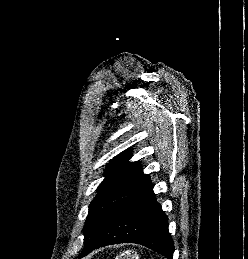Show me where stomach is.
Returning <instances> with one entry per match:
<instances>
[{
  "label": "stomach",
  "mask_w": 248,
  "mask_h": 259,
  "mask_svg": "<svg viewBox=\"0 0 248 259\" xmlns=\"http://www.w3.org/2000/svg\"><path fill=\"white\" fill-rule=\"evenodd\" d=\"M115 259H140V258L137 252H135L134 250L128 249L123 251L119 255H117Z\"/></svg>",
  "instance_id": "obj_1"
}]
</instances>
